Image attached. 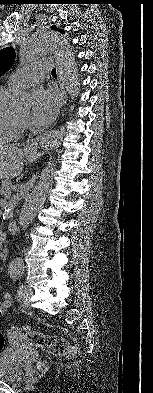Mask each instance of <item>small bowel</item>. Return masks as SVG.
I'll list each match as a JSON object with an SVG mask.
<instances>
[{
    "label": "small bowel",
    "instance_id": "c3829d8e",
    "mask_svg": "<svg viewBox=\"0 0 153 393\" xmlns=\"http://www.w3.org/2000/svg\"><path fill=\"white\" fill-rule=\"evenodd\" d=\"M0 302L5 304V307L0 308V316H2L7 311V309L12 306L13 298L10 294H5L2 296ZM14 331L18 333L17 329H15Z\"/></svg>",
    "mask_w": 153,
    "mask_h": 393
}]
</instances>
